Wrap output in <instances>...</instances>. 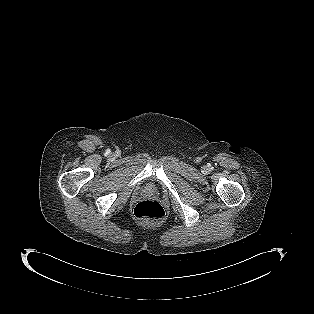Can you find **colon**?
I'll use <instances>...</instances> for the list:
<instances>
[{"instance_id":"5ec220e1","label":"colon","mask_w":314,"mask_h":314,"mask_svg":"<svg viewBox=\"0 0 314 314\" xmlns=\"http://www.w3.org/2000/svg\"><path fill=\"white\" fill-rule=\"evenodd\" d=\"M134 215L141 220L157 222L164 218L165 210L154 199H144L134 207Z\"/></svg>"}]
</instances>
